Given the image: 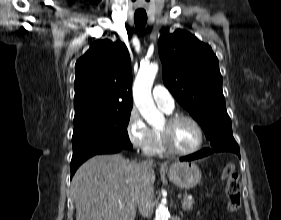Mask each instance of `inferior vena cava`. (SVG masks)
Returning a JSON list of instances; mask_svg holds the SVG:
<instances>
[{
    "label": "inferior vena cava",
    "mask_w": 281,
    "mask_h": 220,
    "mask_svg": "<svg viewBox=\"0 0 281 220\" xmlns=\"http://www.w3.org/2000/svg\"><path fill=\"white\" fill-rule=\"evenodd\" d=\"M152 163L151 160L142 162ZM154 189L153 187H143L137 194V205L143 217H148L153 208Z\"/></svg>",
    "instance_id": "obj_1"
}]
</instances>
